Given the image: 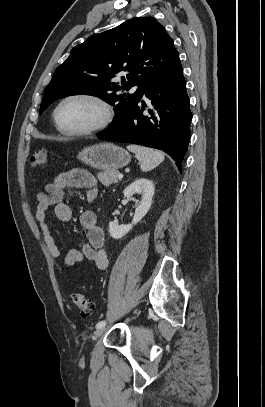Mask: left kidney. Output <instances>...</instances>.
I'll return each instance as SVG.
<instances>
[{
	"instance_id": "obj_1",
	"label": "left kidney",
	"mask_w": 265,
	"mask_h": 407,
	"mask_svg": "<svg viewBox=\"0 0 265 407\" xmlns=\"http://www.w3.org/2000/svg\"><path fill=\"white\" fill-rule=\"evenodd\" d=\"M124 196L131 199L133 194L138 193L142 196L141 201L135 209L133 220L127 225H117L109 222L108 231L112 238L120 239L125 236L135 224H137L149 211L152 204V197L154 195V184L152 181L140 178L132 182L124 189Z\"/></svg>"
}]
</instances>
